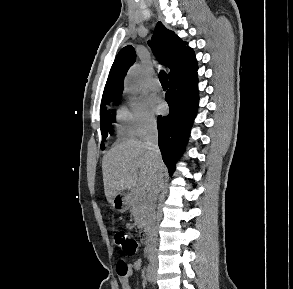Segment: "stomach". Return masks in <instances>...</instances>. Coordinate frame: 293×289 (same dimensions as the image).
I'll list each match as a JSON object with an SVG mask.
<instances>
[{
  "mask_svg": "<svg viewBox=\"0 0 293 289\" xmlns=\"http://www.w3.org/2000/svg\"><path fill=\"white\" fill-rule=\"evenodd\" d=\"M111 204L118 212H125L129 206L128 197L118 193L112 198Z\"/></svg>",
  "mask_w": 293,
  "mask_h": 289,
  "instance_id": "obj_1",
  "label": "stomach"
}]
</instances>
